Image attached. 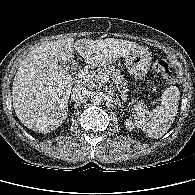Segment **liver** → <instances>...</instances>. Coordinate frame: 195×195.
<instances>
[{"mask_svg":"<svg viewBox=\"0 0 195 195\" xmlns=\"http://www.w3.org/2000/svg\"><path fill=\"white\" fill-rule=\"evenodd\" d=\"M136 42L122 39L65 38L33 48L21 62L12 84L13 107L27 128L48 133L66 120L73 80L60 62L74 60V50L90 67L105 66L125 57Z\"/></svg>","mask_w":195,"mask_h":195,"instance_id":"obj_1","label":"liver"}]
</instances>
